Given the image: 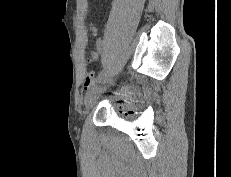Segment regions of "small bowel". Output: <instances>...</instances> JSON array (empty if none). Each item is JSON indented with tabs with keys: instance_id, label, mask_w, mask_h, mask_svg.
Returning a JSON list of instances; mask_svg holds the SVG:
<instances>
[{
	"instance_id": "c3829d8e",
	"label": "small bowel",
	"mask_w": 231,
	"mask_h": 177,
	"mask_svg": "<svg viewBox=\"0 0 231 177\" xmlns=\"http://www.w3.org/2000/svg\"><path fill=\"white\" fill-rule=\"evenodd\" d=\"M91 31L94 35L97 34V29L96 27L94 26H91ZM96 53H93L90 60L91 61H95L99 58L100 55H103L104 52H105V47H104V44L102 43L101 40H98L96 42ZM94 83V73L92 72H88L86 75H85V78H84V87L85 89H88L92 86V84Z\"/></svg>"
}]
</instances>
